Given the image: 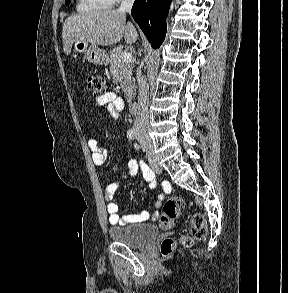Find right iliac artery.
Segmentation results:
<instances>
[{
	"instance_id": "obj_1",
	"label": "right iliac artery",
	"mask_w": 288,
	"mask_h": 293,
	"mask_svg": "<svg viewBox=\"0 0 288 293\" xmlns=\"http://www.w3.org/2000/svg\"><path fill=\"white\" fill-rule=\"evenodd\" d=\"M127 138L129 140H133L135 138V130L134 129H130L127 132Z\"/></svg>"
}]
</instances>
